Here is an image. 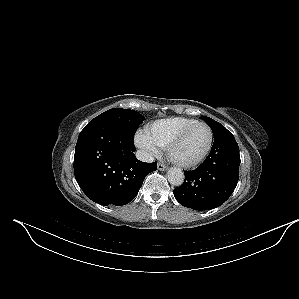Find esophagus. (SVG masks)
<instances>
[{
    "label": "esophagus",
    "mask_w": 299,
    "mask_h": 299,
    "mask_svg": "<svg viewBox=\"0 0 299 299\" xmlns=\"http://www.w3.org/2000/svg\"><path fill=\"white\" fill-rule=\"evenodd\" d=\"M158 169H159L160 171H165V170H167V167H166L164 164L159 163V164H158Z\"/></svg>",
    "instance_id": "obj_1"
}]
</instances>
